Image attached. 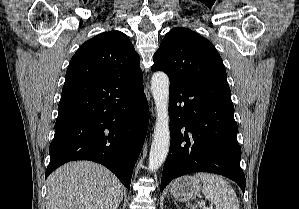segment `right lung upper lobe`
Listing matches in <instances>:
<instances>
[{
    "label": "right lung upper lobe",
    "instance_id": "right-lung-upper-lobe-1",
    "mask_svg": "<svg viewBox=\"0 0 299 209\" xmlns=\"http://www.w3.org/2000/svg\"><path fill=\"white\" fill-rule=\"evenodd\" d=\"M139 55L129 38L113 30L86 41L72 57L65 84L118 77L128 83L143 79Z\"/></svg>",
    "mask_w": 299,
    "mask_h": 209
}]
</instances>
